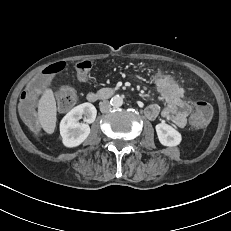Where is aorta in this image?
<instances>
[{
	"mask_svg": "<svg viewBox=\"0 0 231 231\" xmlns=\"http://www.w3.org/2000/svg\"><path fill=\"white\" fill-rule=\"evenodd\" d=\"M110 104L114 108H119L123 105V98L120 95H115L111 98Z\"/></svg>",
	"mask_w": 231,
	"mask_h": 231,
	"instance_id": "762f6f07",
	"label": "aorta"
}]
</instances>
